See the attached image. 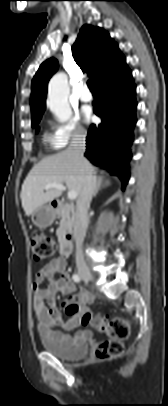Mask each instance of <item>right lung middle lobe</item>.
<instances>
[{
    "label": "right lung middle lobe",
    "mask_w": 168,
    "mask_h": 406,
    "mask_svg": "<svg viewBox=\"0 0 168 406\" xmlns=\"http://www.w3.org/2000/svg\"><path fill=\"white\" fill-rule=\"evenodd\" d=\"M38 123H39V121L32 123V127H35Z\"/></svg>",
    "instance_id": "obj_1"
}]
</instances>
